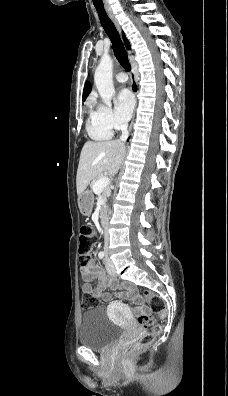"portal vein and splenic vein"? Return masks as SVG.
<instances>
[{"mask_svg": "<svg viewBox=\"0 0 228 396\" xmlns=\"http://www.w3.org/2000/svg\"><path fill=\"white\" fill-rule=\"evenodd\" d=\"M110 180L108 177L100 178L94 185L93 191L95 193L102 192V190L109 184Z\"/></svg>", "mask_w": 228, "mask_h": 396, "instance_id": "portal-vein-and-splenic-vein-1", "label": "portal vein and splenic vein"}]
</instances>
